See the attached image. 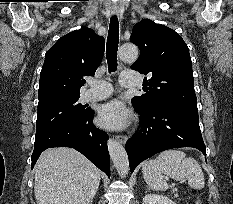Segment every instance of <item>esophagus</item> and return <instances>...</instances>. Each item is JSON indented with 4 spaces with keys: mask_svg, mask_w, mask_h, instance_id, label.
Masks as SVG:
<instances>
[{
    "mask_svg": "<svg viewBox=\"0 0 233 204\" xmlns=\"http://www.w3.org/2000/svg\"><path fill=\"white\" fill-rule=\"evenodd\" d=\"M111 12H112L113 15H119V9L116 8V7L112 8ZM116 139H117L120 143L125 144L126 141H127V136H125V135H117V136H116Z\"/></svg>",
    "mask_w": 233,
    "mask_h": 204,
    "instance_id": "1",
    "label": "esophagus"
}]
</instances>
